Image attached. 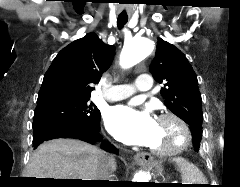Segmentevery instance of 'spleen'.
<instances>
[{"label": "spleen", "instance_id": "1", "mask_svg": "<svg viewBox=\"0 0 240 187\" xmlns=\"http://www.w3.org/2000/svg\"><path fill=\"white\" fill-rule=\"evenodd\" d=\"M173 161L176 162L185 184H206L203 173L194 164L184 158H173Z\"/></svg>", "mask_w": 240, "mask_h": 187}]
</instances>
